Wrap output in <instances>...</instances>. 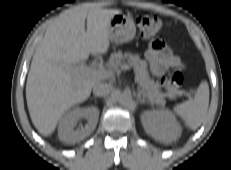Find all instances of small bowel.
<instances>
[{
    "mask_svg": "<svg viewBox=\"0 0 231 170\" xmlns=\"http://www.w3.org/2000/svg\"><path fill=\"white\" fill-rule=\"evenodd\" d=\"M145 57L156 77L163 76L169 69L183 70L185 67L183 61L159 39L151 41Z\"/></svg>",
    "mask_w": 231,
    "mask_h": 170,
    "instance_id": "small-bowel-1",
    "label": "small bowel"
}]
</instances>
